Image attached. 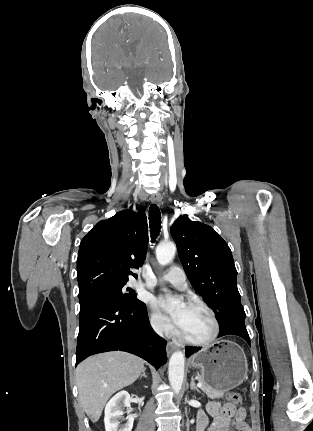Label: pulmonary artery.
<instances>
[{
    "mask_svg": "<svg viewBox=\"0 0 313 431\" xmlns=\"http://www.w3.org/2000/svg\"><path fill=\"white\" fill-rule=\"evenodd\" d=\"M156 283H168L179 290L187 288L186 276L184 271L178 266H172L168 272L161 276ZM140 286L148 287V284H140Z\"/></svg>",
    "mask_w": 313,
    "mask_h": 431,
    "instance_id": "1",
    "label": "pulmonary artery"
}]
</instances>
